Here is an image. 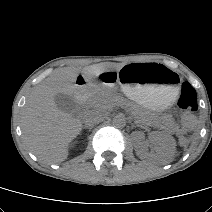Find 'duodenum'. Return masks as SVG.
<instances>
[{"mask_svg":"<svg viewBox=\"0 0 212 212\" xmlns=\"http://www.w3.org/2000/svg\"><path fill=\"white\" fill-rule=\"evenodd\" d=\"M92 86V81L87 78H79L76 83V95L79 99L86 96L88 90Z\"/></svg>","mask_w":212,"mask_h":212,"instance_id":"1","label":"duodenum"}]
</instances>
